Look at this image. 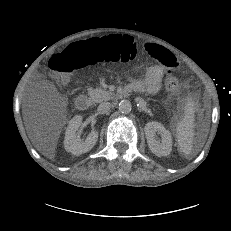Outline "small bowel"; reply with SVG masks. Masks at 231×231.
<instances>
[{
  "label": "small bowel",
  "instance_id": "1",
  "mask_svg": "<svg viewBox=\"0 0 231 231\" xmlns=\"http://www.w3.org/2000/svg\"><path fill=\"white\" fill-rule=\"evenodd\" d=\"M147 53L158 60L159 64H153L146 68V77L143 80H135L131 83L130 88L138 92L156 94L161 88V80L164 69L175 72L179 68L176 58L165 48L155 44L145 46Z\"/></svg>",
  "mask_w": 231,
  "mask_h": 231
}]
</instances>
